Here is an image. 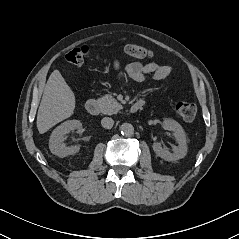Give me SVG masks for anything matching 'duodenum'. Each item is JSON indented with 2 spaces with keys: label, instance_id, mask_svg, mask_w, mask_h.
Returning <instances> with one entry per match:
<instances>
[{
  "label": "duodenum",
  "instance_id": "obj_1",
  "mask_svg": "<svg viewBox=\"0 0 239 239\" xmlns=\"http://www.w3.org/2000/svg\"><path fill=\"white\" fill-rule=\"evenodd\" d=\"M144 106L143 100H138L130 106V112L136 113L140 111ZM86 110L91 115H97L100 111V106L98 101L95 98H91L86 103Z\"/></svg>",
  "mask_w": 239,
  "mask_h": 239
}]
</instances>
